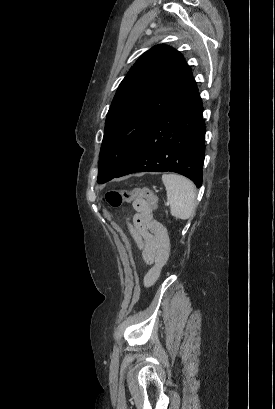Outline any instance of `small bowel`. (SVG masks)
<instances>
[{"label": "small bowel", "mask_w": 275, "mask_h": 409, "mask_svg": "<svg viewBox=\"0 0 275 409\" xmlns=\"http://www.w3.org/2000/svg\"><path fill=\"white\" fill-rule=\"evenodd\" d=\"M133 207L136 213L130 227L132 237L141 250L143 261L146 264H154L144 278V285L150 286L159 276L150 279L152 270L155 267L161 270L169 258L170 241L165 228L153 220L149 207L144 201H135Z\"/></svg>", "instance_id": "1"}]
</instances>
